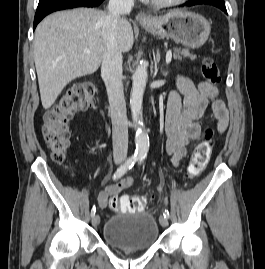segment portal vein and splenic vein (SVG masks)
I'll return each mask as SVG.
<instances>
[{
	"mask_svg": "<svg viewBox=\"0 0 265 269\" xmlns=\"http://www.w3.org/2000/svg\"><path fill=\"white\" fill-rule=\"evenodd\" d=\"M85 53H86V54H90V51L85 50ZM171 58H172V51L169 50V51H167V53H166V62L169 63V62L171 61Z\"/></svg>",
	"mask_w": 265,
	"mask_h": 269,
	"instance_id": "portal-vein-and-splenic-vein-1",
	"label": "portal vein and splenic vein"
}]
</instances>
